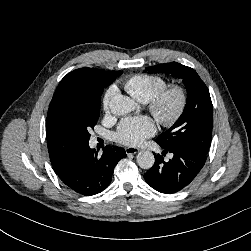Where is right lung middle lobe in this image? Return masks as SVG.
<instances>
[{"label": "right lung middle lobe", "mask_w": 251, "mask_h": 251, "mask_svg": "<svg viewBox=\"0 0 251 251\" xmlns=\"http://www.w3.org/2000/svg\"><path fill=\"white\" fill-rule=\"evenodd\" d=\"M121 74L109 78L87 79L70 88L66 101V119L78 144L88 143L89 131L94 128L100 115L103 89Z\"/></svg>", "instance_id": "1"}]
</instances>
